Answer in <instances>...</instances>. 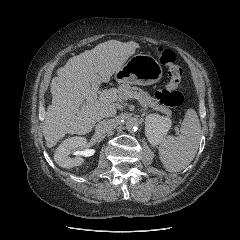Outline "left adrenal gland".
<instances>
[{"label":"left adrenal gland","instance_id":"obj_1","mask_svg":"<svg viewBox=\"0 0 240 240\" xmlns=\"http://www.w3.org/2000/svg\"><path fill=\"white\" fill-rule=\"evenodd\" d=\"M145 114H146V110H144V112H143L142 116H144Z\"/></svg>","mask_w":240,"mask_h":240}]
</instances>
